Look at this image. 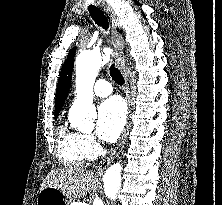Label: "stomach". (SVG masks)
Listing matches in <instances>:
<instances>
[{
	"mask_svg": "<svg viewBox=\"0 0 222 205\" xmlns=\"http://www.w3.org/2000/svg\"><path fill=\"white\" fill-rule=\"evenodd\" d=\"M69 197L57 188L47 187L40 190L37 205H70Z\"/></svg>",
	"mask_w": 222,
	"mask_h": 205,
	"instance_id": "0dacf381",
	"label": "stomach"
}]
</instances>
